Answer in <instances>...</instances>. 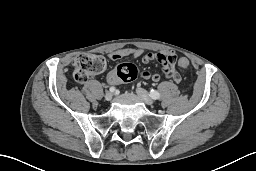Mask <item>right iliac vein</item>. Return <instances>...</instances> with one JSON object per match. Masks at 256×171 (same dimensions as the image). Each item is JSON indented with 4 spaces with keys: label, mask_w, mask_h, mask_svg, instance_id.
<instances>
[{
    "label": "right iliac vein",
    "mask_w": 256,
    "mask_h": 171,
    "mask_svg": "<svg viewBox=\"0 0 256 171\" xmlns=\"http://www.w3.org/2000/svg\"><path fill=\"white\" fill-rule=\"evenodd\" d=\"M113 94L111 92H107L104 96L105 101H111Z\"/></svg>",
    "instance_id": "63e3f726"
}]
</instances>
